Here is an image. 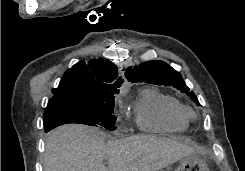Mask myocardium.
<instances>
[{"label": "myocardium", "instance_id": "myocardium-1", "mask_svg": "<svg viewBox=\"0 0 245 171\" xmlns=\"http://www.w3.org/2000/svg\"><path fill=\"white\" fill-rule=\"evenodd\" d=\"M187 114H188V116H189V115H193L191 112H187Z\"/></svg>", "mask_w": 245, "mask_h": 171}]
</instances>
